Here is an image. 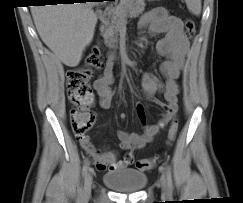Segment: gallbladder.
<instances>
[{"label": "gallbladder", "mask_w": 243, "mask_h": 203, "mask_svg": "<svg viewBox=\"0 0 243 203\" xmlns=\"http://www.w3.org/2000/svg\"><path fill=\"white\" fill-rule=\"evenodd\" d=\"M97 15L99 16V15H100V13H99V12H97Z\"/></svg>", "instance_id": "gallbladder-1"}]
</instances>
